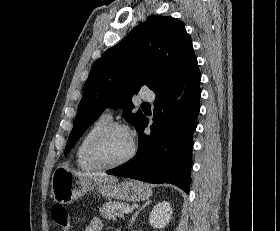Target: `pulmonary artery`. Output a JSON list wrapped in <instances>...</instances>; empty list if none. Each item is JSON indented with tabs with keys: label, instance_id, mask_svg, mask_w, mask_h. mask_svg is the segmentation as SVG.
<instances>
[{
	"label": "pulmonary artery",
	"instance_id": "1",
	"mask_svg": "<svg viewBox=\"0 0 280 231\" xmlns=\"http://www.w3.org/2000/svg\"><path fill=\"white\" fill-rule=\"evenodd\" d=\"M139 95H140V97H141L142 99L147 100V101H152V100H154V98H155L154 92L151 91V90H148V89H145V91L141 90V91L139 92ZM103 114H104L105 116L111 117V116H112V110H111V108H110V107H107V108L104 110Z\"/></svg>",
	"mask_w": 280,
	"mask_h": 231
}]
</instances>
